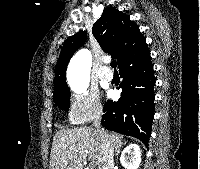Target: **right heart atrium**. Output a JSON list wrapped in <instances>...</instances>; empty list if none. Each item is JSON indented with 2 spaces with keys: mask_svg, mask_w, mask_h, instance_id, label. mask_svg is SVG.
<instances>
[{
  "mask_svg": "<svg viewBox=\"0 0 200 169\" xmlns=\"http://www.w3.org/2000/svg\"><path fill=\"white\" fill-rule=\"evenodd\" d=\"M103 113L100 97L95 92H82L72 95L68 108L69 121L74 125H83Z\"/></svg>",
  "mask_w": 200,
  "mask_h": 169,
  "instance_id": "right-heart-atrium-1",
  "label": "right heart atrium"
}]
</instances>
